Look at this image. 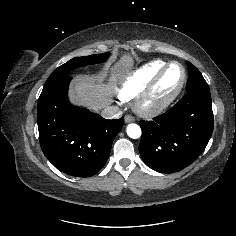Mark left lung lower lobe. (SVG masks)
<instances>
[{
    "label": "left lung lower lobe",
    "mask_w": 236,
    "mask_h": 236,
    "mask_svg": "<svg viewBox=\"0 0 236 236\" xmlns=\"http://www.w3.org/2000/svg\"><path fill=\"white\" fill-rule=\"evenodd\" d=\"M139 152L143 161L161 173L177 172L193 163L206 148L214 128L210 89L186 95L152 121H140Z\"/></svg>",
    "instance_id": "0a47b994"
}]
</instances>
